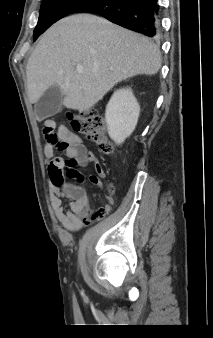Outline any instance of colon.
<instances>
[{
    "mask_svg": "<svg viewBox=\"0 0 213 338\" xmlns=\"http://www.w3.org/2000/svg\"><path fill=\"white\" fill-rule=\"evenodd\" d=\"M70 120L74 128L81 133L89 142L95 144L102 152L110 153L113 150L111 141L109 140L105 123L103 119L91 110L80 115H70ZM68 143H62L61 149H66ZM77 161L75 159L68 160L66 163V172L63 167L58 165L56 160H52L47 165V174L49 181L53 185H57L61 179L69 178L83 181L84 176L75 168ZM91 184L97 187L102 186V169L99 164L95 165V173L88 177ZM110 190V188H107ZM111 209V202L104 201L100 206L91 212L90 220L97 221L108 215Z\"/></svg>",
    "mask_w": 213,
    "mask_h": 338,
    "instance_id": "5ec220e1",
    "label": "colon"
}]
</instances>
